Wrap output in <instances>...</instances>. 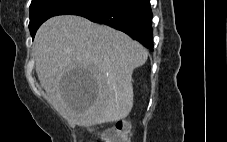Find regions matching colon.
<instances>
[{
	"mask_svg": "<svg viewBox=\"0 0 227 142\" xmlns=\"http://www.w3.org/2000/svg\"><path fill=\"white\" fill-rule=\"evenodd\" d=\"M131 124L129 121H118L113 127L102 131L94 142H129Z\"/></svg>",
	"mask_w": 227,
	"mask_h": 142,
	"instance_id": "1",
	"label": "colon"
}]
</instances>
